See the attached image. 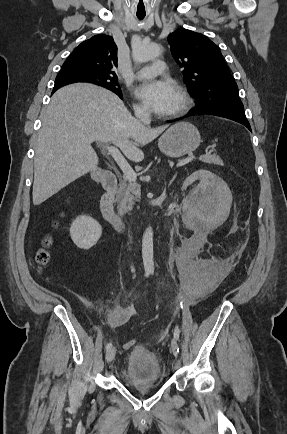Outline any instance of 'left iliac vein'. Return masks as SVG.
Wrapping results in <instances>:
<instances>
[{
    "label": "left iliac vein",
    "instance_id": "1",
    "mask_svg": "<svg viewBox=\"0 0 287 434\" xmlns=\"http://www.w3.org/2000/svg\"><path fill=\"white\" fill-rule=\"evenodd\" d=\"M171 350H172V353L176 356L177 355V351H178V343H177L176 339H173L171 341ZM177 367H178V365H177Z\"/></svg>",
    "mask_w": 287,
    "mask_h": 434
}]
</instances>
